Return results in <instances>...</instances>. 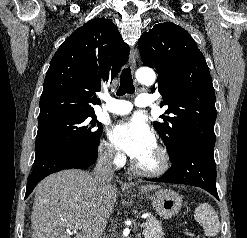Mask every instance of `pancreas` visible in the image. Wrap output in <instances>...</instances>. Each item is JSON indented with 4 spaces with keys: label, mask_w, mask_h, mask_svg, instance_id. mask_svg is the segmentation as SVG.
Returning <instances> with one entry per match:
<instances>
[{
    "label": "pancreas",
    "mask_w": 247,
    "mask_h": 238,
    "mask_svg": "<svg viewBox=\"0 0 247 238\" xmlns=\"http://www.w3.org/2000/svg\"><path fill=\"white\" fill-rule=\"evenodd\" d=\"M146 223L143 227L144 238H163L164 232L160 221L149 218Z\"/></svg>",
    "instance_id": "cf45deb5"
}]
</instances>
